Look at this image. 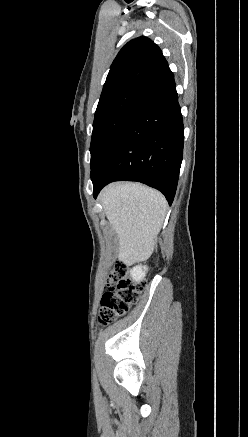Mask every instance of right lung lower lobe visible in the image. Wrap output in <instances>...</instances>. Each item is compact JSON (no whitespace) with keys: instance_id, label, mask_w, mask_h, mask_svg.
Returning <instances> with one entry per match:
<instances>
[{"instance_id":"obj_1","label":"right lung lower lobe","mask_w":248,"mask_h":437,"mask_svg":"<svg viewBox=\"0 0 248 437\" xmlns=\"http://www.w3.org/2000/svg\"><path fill=\"white\" fill-rule=\"evenodd\" d=\"M184 127L174 75L166 67L138 94L91 168L93 195L110 182L138 181L171 205L183 155Z\"/></svg>"}]
</instances>
